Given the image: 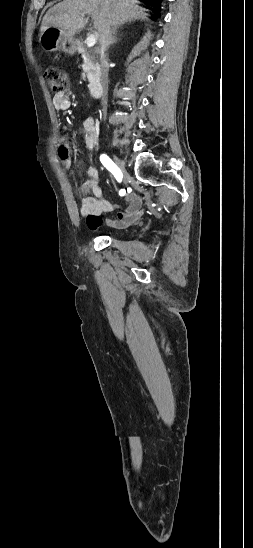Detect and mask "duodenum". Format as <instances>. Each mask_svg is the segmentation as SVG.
<instances>
[{"mask_svg":"<svg viewBox=\"0 0 253 548\" xmlns=\"http://www.w3.org/2000/svg\"><path fill=\"white\" fill-rule=\"evenodd\" d=\"M91 94L95 98H99L102 95V88L99 85H94L91 88Z\"/></svg>","mask_w":253,"mask_h":548,"instance_id":"duodenum-1","label":"duodenum"}]
</instances>
